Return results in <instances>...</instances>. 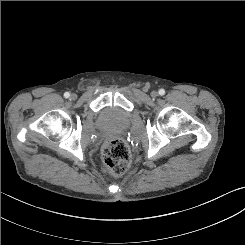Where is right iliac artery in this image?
Instances as JSON below:
<instances>
[{
	"mask_svg": "<svg viewBox=\"0 0 245 245\" xmlns=\"http://www.w3.org/2000/svg\"><path fill=\"white\" fill-rule=\"evenodd\" d=\"M64 97H65V98H69V97H70V94H69L68 92H65V93H64Z\"/></svg>",
	"mask_w": 245,
	"mask_h": 245,
	"instance_id": "82829eb1",
	"label": "right iliac artery"
}]
</instances>
